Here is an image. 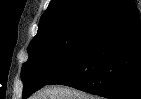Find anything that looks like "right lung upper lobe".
Masks as SVG:
<instances>
[{"label": "right lung upper lobe", "instance_id": "cb5924a9", "mask_svg": "<svg viewBox=\"0 0 141 99\" xmlns=\"http://www.w3.org/2000/svg\"><path fill=\"white\" fill-rule=\"evenodd\" d=\"M133 4V0H51L35 38L81 22L101 23Z\"/></svg>", "mask_w": 141, "mask_h": 99}]
</instances>
